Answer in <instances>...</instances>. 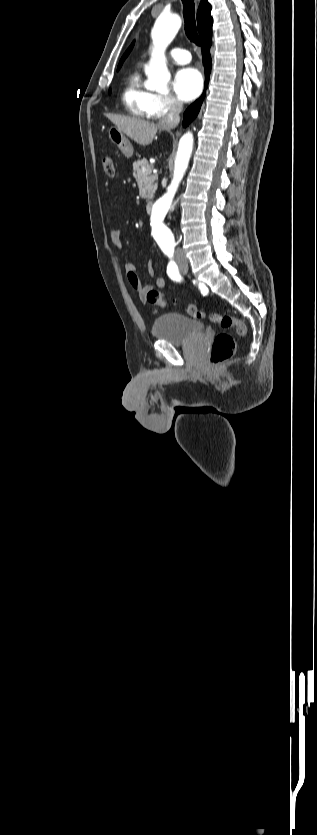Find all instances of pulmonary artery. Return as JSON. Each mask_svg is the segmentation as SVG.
<instances>
[{
  "mask_svg": "<svg viewBox=\"0 0 317 835\" xmlns=\"http://www.w3.org/2000/svg\"><path fill=\"white\" fill-rule=\"evenodd\" d=\"M170 57L179 64H187L191 60L190 53L181 48H174L169 52Z\"/></svg>",
  "mask_w": 317,
  "mask_h": 835,
  "instance_id": "1",
  "label": "pulmonary artery"
}]
</instances>
